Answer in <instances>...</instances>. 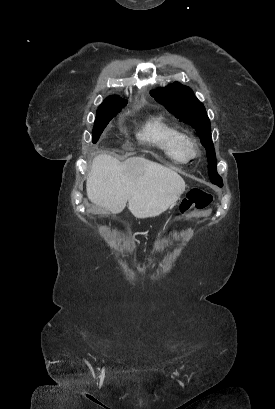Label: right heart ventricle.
<instances>
[{
	"label": "right heart ventricle",
	"instance_id": "1",
	"mask_svg": "<svg viewBox=\"0 0 275 409\" xmlns=\"http://www.w3.org/2000/svg\"><path fill=\"white\" fill-rule=\"evenodd\" d=\"M140 138L159 149L166 157H181L179 149L186 134L178 127L156 117L147 122Z\"/></svg>",
	"mask_w": 275,
	"mask_h": 409
}]
</instances>
